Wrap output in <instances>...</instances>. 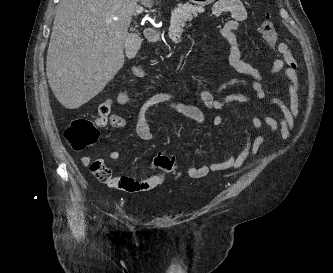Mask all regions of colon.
I'll list each match as a JSON object with an SVG mask.
<instances>
[{
	"label": "colon",
	"mask_w": 333,
	"mask_h": 273,
	"mask_svg": "<svg viewBox=\"0 0 333 273\" xmlns=\"http://www.w3.org/2000/svg\"><path fill=\"white\" fill-rule=\"evenodd\" d=\"M259 32L268 46L272 50L277 51L278 36L275 31L274 23L268 16L264 17L261 21ZM97 127L96 123L89 119H74L65 129L64 137L72 149L80 151L97 142L99 138V131ZM152 167L157 171L169 174L176 173L172 159L164 155L156 156L153 159ZM90 170L101 182L110 184L114 180L111 169L102 159L94 160L90 164Z\"/></svg>",
	"instance_id": "obj_1"
}]
</instances>
